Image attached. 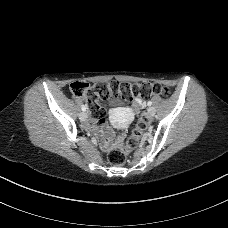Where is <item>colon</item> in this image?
Instances as JSON below:
<instances>
[{"label":"colon","mask_w":228,"mask_h":228,"mask_svg":"<svg viewBox=\"0 0 228 228\" xmlns=\"http://www.w3.org/2000/svg\"><path fill=\"white\" fill-rule=\"evenodd\" d=\"M71 93L78 98L85 99L91 114L92 124L96 130H100L104 121V112L99 101L109 97H119L125 101L145 100L151 96H167L169 89L154 82L130 83V82H99L90 86L86 82H74L70 85ZM147 119L141 117L123 148L113 149L108 153V161L116 166L125 162L126 154L135 149L140 141L142 132L147 127Z\"/></svg>","instance_id":"obj_1"}]
</instances>
